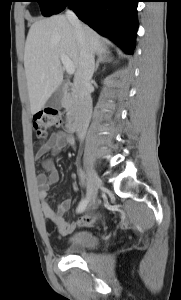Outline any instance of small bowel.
Segmentation results:
<instances>
[{
  "label": "small bowel",
  "instance_id": "c3829d8e",
  "mask_svg": "<svg viewBox=\"0 0 181 300\" xmlns=\"http://www.w3.org/2000/svg\"><path fill=\"white\" fill-rule=\"evenodd\" d=\"M67 145L75 148V139L63 131L54 132L51 134L48 142L39 148L36 156L37 158H41L48 152L58 153ZM42 167L44 172L37 175L36 183L40 188L38 196L45 219L56 227L60 235H68L73 232L76 227H86L93 224L97 220L95 214H85L74 222H67L64 219V214L71 207L70 199L62 200L56 208L52 207L48 199L49 191L50 187L59 181L60 175L51 159H45L42 162Z\"/></svg>",
  "mask_w": 181,
  "mask_h": 300
}]
</instances>
